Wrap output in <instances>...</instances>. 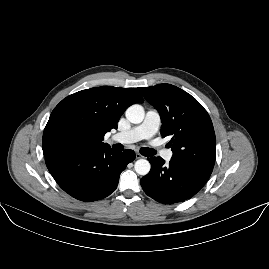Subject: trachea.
Returning <instances> with one entry per match:
<instances>
[{
	"instance_id": "trachea-1",
	"label": "trachea",
	"mask_w": 269,
	"mask_h": 269,
	"mask_svg": "<svg viewBox=\"0 0 269 269\" xmlns=\"http://www.w3.org/2000/svg\"><path fill=\"white\" fill-rule=\"evenodd\" d=\"M140 152L143 156L147 157L154 156L157 153L156 150L151 148H141Z\"/></svg>"
}]
</instances>
